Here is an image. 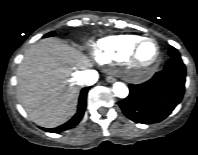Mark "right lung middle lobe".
Returning <instances> with one entry per match:
<instances>
[{"label":"right lung middle lobe","mask_w":198,"mask_h":155,"mask_svg":"<svg viewBox=\"0 0 198 155\" xmlns=\"http://www.w3.org/2000/svg\"><path fill=\"white\" fill-rule=\"evenodd\" d=\"M54 35H55L54 32H50V33L46 34L44 37H50V36H54Z\"/></svg>","instance_id":"1"}]
</instances>
